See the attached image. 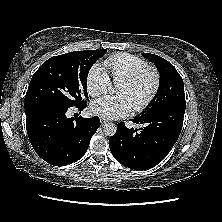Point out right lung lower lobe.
Returning <instances> with one entry per match:
<instances>
[{
  "label": "right lung lower lobe",
  "mask_w": 222,
  "mask_h": 222,
  "mask_svg": "<svg viewBox=\"0 0 222 222\" xmlns=\"http://www.w3.org/2000/svg\"><path fill=\"white\" fill-rule=\"evenodd\" d=\"M86 103L76 106L82 111ZM70 107L42 104L26 112V128L35 152L47 163L64 166L79 160L87 151L92 136L100 127V119L68 118Z\"/></svg>",
  "instance_id": "obj_1"
}]
</instances>
